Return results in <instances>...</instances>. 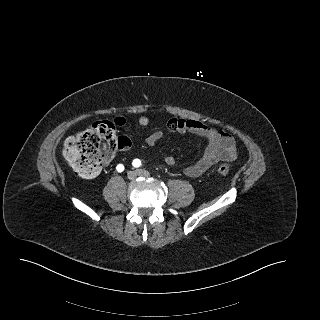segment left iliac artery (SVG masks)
<instances>
[{
	"mask_svg": "<svg viewBox=\"0 0 320 320\" xmlns=\"http://www.w3.org/2000/svg\"><path fill=\"white\" fill-rule=\"evenodd\" d=\"M141 161L139 160V159H134L133 160V162H132V165L134 166V167H139V166H141Z\"/></svg>",
	"mask_w": 320,
	"mask_h": 320,
	"instance_id": "1",
	"label": "left iliac artery"
}]
</instances>
